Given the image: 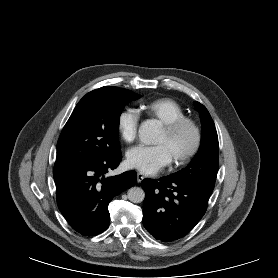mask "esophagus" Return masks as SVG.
I'll use <instances>...</instances> for the list:
<instances>
[{
	"instance_id": "34e87169",
	"label": "esophagus",
	"mask_w": 278,
	"mask_h": 278,
	"mask_svg": "<svg viewBox=\"0 0 278 278\" xmlns=\"http://www.w3.org/2000/svg\"><path fill=\"white\" fill-rule=\"evenodd\" d=\"M143 179H144L143 174H142V173H138V174H137V182H138V183H141Z\"/></svg>"
}]
</instances>
